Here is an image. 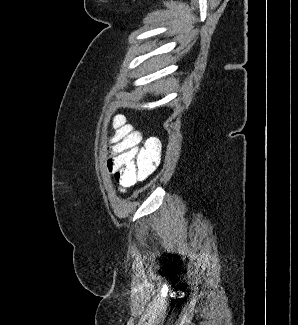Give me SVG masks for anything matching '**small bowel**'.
Here are the masks:
<instances>
[{"instance_id":"1","label":"small bowel","mask_w":298,"mask_h":325,"mask_svg":"<svg viewBox=\"0 0 298 325\" xmlns=\"http://www.w3.org/2000/svg\"><path fill=\"white\" fill-rule=\"evenodd\" d=\"M119 191L124 193L126 191L125 187L124 186H119L118 187Z\"/></svg>"}]
</instances>
